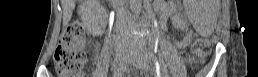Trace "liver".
Instances as JSON below:
<instances>
[{
	"label": "liver",
	"instance_id": "1",
	"mask_svg": "<svg viewBox=\"0 0 258 77\" xmlns=\"http://www.w3.org/2000/svg\"><path fill=\"white\" fill-rule=\"evenodd\" d=\"M94 2H96L95 0H88L86 2V5L83 6H89L92 5ZM61 5L63 8V23L64 25L68 24V22L70 21L71 17H72V12L75 6V0H61Z\"/></svg>",
	"mask_w": 258,
	"mask_h": 77
}]
</instances>
